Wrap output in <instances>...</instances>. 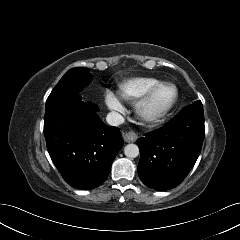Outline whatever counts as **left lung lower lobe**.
Returning <instances> with one entry per match:
<instances>
[{"label": "left lung lower lobe", "instance_id": "0a47b994", "mask_svg": "<svg viewBox=\"0 0 240 240\" xmlns=\"http://www.w3.org/2000/svg\"><path fill=\"white\" fill-rule=\"evenodd\" d=\"M205 135L201 101L184 107L156 131L137 140L140 149L138 175L155 190L178 186L194 166Z\"/></svg>", "mask_w": 240, "mask_h": 240}]
</instances>
